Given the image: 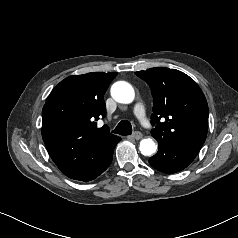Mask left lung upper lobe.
Instances as JSON below:
<instances>
[{
  "instance_id": "5c2ea615",
  "label": "left lung upper lobe",
  "mask_w": 238,
  "mask_h": 238,
  "mask_svg": "<svg viewBox=\"0 0 238 238\" xmlns=\"http://www.w3.org/2000/svg\"><path fill=\"white\" fill-rule=\"evenodd\" d=\"M135 74L153 96L151 134L158 142L200 150L208 131V104L197 83L176 69L151 68Z\"/></svg>"
}]
</instances>
